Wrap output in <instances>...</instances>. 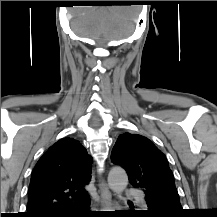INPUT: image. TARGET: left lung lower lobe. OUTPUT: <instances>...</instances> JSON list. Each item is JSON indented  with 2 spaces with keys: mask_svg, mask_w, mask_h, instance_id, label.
Wrapping results in <instances>:
<instances>
[{
  "mask_svg": "<svg viewBox=\"0 0 217 217\" xmlns=\"http://www.w3.org/2000/svg\"><path fill=\"white\" fill-rule=\"evenodd\" d=\"M145 214L149 217H176V216H173V215H168V214H165V213H162V212H157L155 211L154 209H151L147 212H145Z\"/></svg>",
  "mask_w": 217,
  "mask_h": 217,
  "instance_id": "1",
  "label": "left lung lower lobe"
}]
</instances>
